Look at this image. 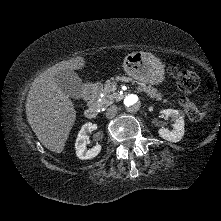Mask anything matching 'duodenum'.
<instances>
[{
	"label": "duodenum",
	"instance_id": "duodenum-1",
	"mask_svg": "<svg viewBox=\"0 0 221 221\" xmlns=\"http://www.w3.org/2000/svg\"><path fill=\"white\" fill-rule=\"evenodd\" d=\"M102 91L101 83H92L84 90V98L88 101V107L84 115L88 119H94L99 112V95Z\"/></svg>",
	"mask_w": 221,
	"mask_h": 221
}]
</instances>
